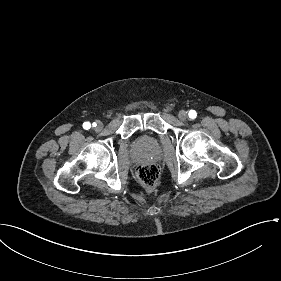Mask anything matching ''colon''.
<instances>
[{
    "mask_svg": "<svg viewBox=\"0 0 281 281\" xmlns=\"http://www.w3.org/2000/svg\"><path fill=\"white\" fill-rule=\"evenodd\" d=\"M137 178L145 188L155 187L159 179L158 166L155 163L141 165L137 170Z\"/></svg>",
    "mask_w": 281,
    "mask_h": 281,
    "instance_id": "obj_1",
    "label": "colon"
}]
</instances>
